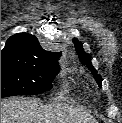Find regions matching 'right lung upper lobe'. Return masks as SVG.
<instances>
[{
	"mask_svg": "<svg viewBox=\"0 0 122 123\" xmlns=\"http://www.w3.org/2000/svg\"><path fill=\"white\" fill-rule=\"evenodd\" d=\"M59 52L44 50L38 39L28 33H17L11 36L1 51V59H16L33 63L57 64Z\"/></svg>",
	"mask_w": 122,
	"mask_h": 123,
	"instance_id": "right-lung-upper-lobe-1",
	"label": "right lung upper lobe"
}]
</instances>
